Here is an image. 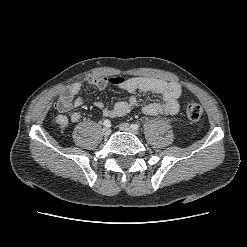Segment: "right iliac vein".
<instances>
[{
	"instance_id": "1",
	"label": "right iliac vein",
	"mask_w": 247,
	"mask_h": 247,
	"mask_svg": "<svg viewBox=\"0 0 247 247\" xmlns=\"http://www.w3.org/2000/svg\"><path fill=\"white\" fill-rule=\"evenodd\" d=\"M102 134H103L105 137L109 136V135L111 134V129H110L109 127H104V128L102 129Z\"/></svg>"
}]
</instances>
